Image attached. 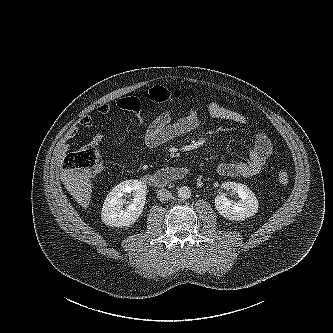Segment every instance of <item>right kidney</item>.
Returning a JSON list of instances; mask_svg holds the SVG:
<instances>
[{"label":"right kidney","mask_w":333,"mask_h":333,"mask_svg":"<svg viewBox=\"0 0 333 333\" xmlns=\"http://www.w3.org/2000/svg\"><path fill=\"white\" fill-rule=\"evenodd\" d=\"M133 192V199L126 208L124 196ZM147 186L144 182L133 179L125 180L115 186L107 195L101 212L102 221L111 227H129L143 212Z\"/></svg>","instance_id":"right-kidney-1"}]
</instances>
